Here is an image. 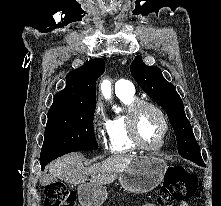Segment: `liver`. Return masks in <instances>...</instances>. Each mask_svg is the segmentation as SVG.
Listing matches in <instances>:
<instances>
[{
  "instance_id": "1",
  "label": "liver",
  "mask_w": 221,
  "mask_h": 206,
  "mask_svg": "<svg viewBox=\"0 0 221 206\" xmlns=\"http://www.w3.org/2000/svg\"><path fill=\"white\" fill-rule=\"evenodd\" d=\"M136 156L134 155H113L102 162L95 163L89 167L83 165V156L80 153L65 155L50 164L48 175L40 179L42 185H47L49 179H62L71 184H84L88 177L90 182L98 185L113 182L124 167Z\"/></svg>"
}]
</instances>
